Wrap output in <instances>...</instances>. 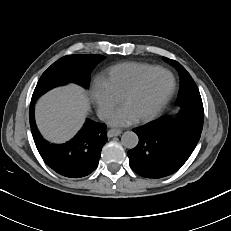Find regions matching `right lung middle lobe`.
<instances>
[{"label":"right lung middle lobe","instance_id":"dd1d6c3e","mask_svg":"<svg viewBox=\"0 0 231 231\" xmlns=\"http://www.w3.org/2000/svg\"><path fill=\"white\" fill-rule=\"evenodd\" d=\"M104 58L102 55L95 54L68 55L60 58L40 77L31 103H35L37 98L48 90L68 82H74L86 88L90 72Z\"/></svg>","mask_w":231,"mask_h":231}]
</instances>
